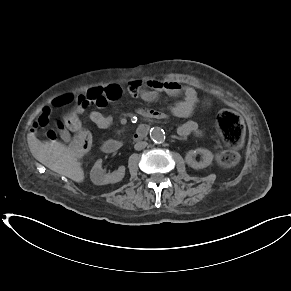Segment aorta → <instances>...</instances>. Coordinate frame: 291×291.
<instances>
[{"instance_id": "aorta-1", "label": "aorta", "mask_w": 291, "mask_h": 291, "mask_svg": "<svg viewBox=\"0 0 291 291\" xmlns=\"http://www.w3.org/2000/svg\"><path fill=\"white\" fill-rule=\"evenodd\" d=\"M150 137L156 143H162L165 140V132L160 127H153L150 130Z\"/></svg>"}]
</instances>
